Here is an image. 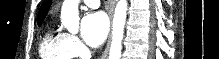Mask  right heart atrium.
Here are the masks:
<instances>
[{
  "instance_id": "obj_1",
  "label": "right heart atrium",
  "mask_w": 219,
  "mask_h": 59,
  "mask_svg": "<svg viewBox=\"0 0 219 59\" xmlns=\"http://www.w3.org/2000/svg\"><path fill=\"white\" fill-rule=\"evenodd\" d=\"M68 39H69V45L74 52L76 56H82L84 53V46L80 42V40L74 36V35H69L68 34Z\"/></svg>"
}]
</instances>
